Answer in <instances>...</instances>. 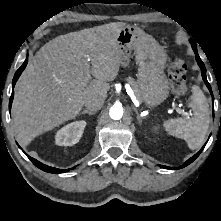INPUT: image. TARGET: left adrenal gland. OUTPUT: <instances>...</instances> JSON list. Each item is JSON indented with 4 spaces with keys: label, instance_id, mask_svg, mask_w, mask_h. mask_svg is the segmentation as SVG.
Returning <instances> with one entry per match:
<instances>
[{
    "label": "left adrenal gland",
    "instance_id": "left-adrenal-gland-1",
    "mask_svg": "<svg viewBox=\"0 0 221 221\" xmlns=\"http://www.w3.org/2000/svg\"><path fill=\"white\" fill-rule=\"evenodd\" d=\"M133 108V110L136 112V114H137V120H138V123L139 124H141L142 123V119H144V118H142L140 115H139V112H138V110H137V108L136 107H132Z\"/></svg>",
    "mask_w": 221,
    "mask_h": 221
}]
</instances>
